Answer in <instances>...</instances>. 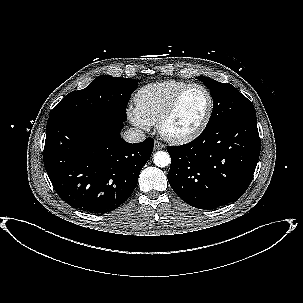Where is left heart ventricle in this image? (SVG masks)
Here are the masks:
<instances>
[{
	"label": "left heart ventricle",
	"mask_w": 303,
	"mask_h": 303,
	"mask_svg": "<svg viewBox=\"0 0 303 303\" xmlns=\"http://www.w3.org/2000/svg\"><path fill=\"white\" fill-rule=\"evenodd\" d=\"M208 106L207 96L200 88H192L181 100L176 112L166 124L170 134H184L193 130L202 120Z\"/></svg>",
	"instance_id": "left-heart-ventricle-1"
}]
</instances>
